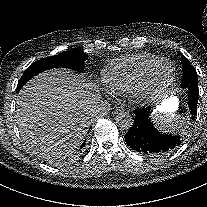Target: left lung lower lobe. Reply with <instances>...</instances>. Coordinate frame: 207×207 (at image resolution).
Here are the masks:
<instances>
[{"label": "left lung lower lobe", "mask_w": 207, "mask_h": 207, "mask_svg": "<svg viewBox=\"0 0 207 207\" xmlns=\"http://www.w3.org/2000/svg\"><path fill=\"white\" fill-rule=\"evenodd\" d=\"M198 97V87L192 86L188 90V105L192 119L197 113ZM134 114L135 121L125 135V141L131 149L147 155H163L181 144L180 136L164 134L153 126L150 120L151 107L135 109Z\"/></svg>", "instance_id": "0a47b994"}]
</instances>
